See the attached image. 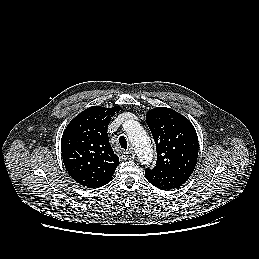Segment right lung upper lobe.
<instances>
[{
    "instance_id": "right-lung-upper-lobe-1",
    "label": "right lung upper lobe",
    "mask_w": 259,
    "mask_h": 259,
    "mask_svg": "<svg viewBox=\"0 0 259 259\" xmlns=\"http://www.w3.org/2000/svg\"><path fill=\"white\" fill-rule=\"evenodd\" d=\"M119 106H92L66 127L61 152L69 175L79 184L99 188L111 181L119 158L109 143L107 127Z\"/></svg>"
}]
</instances>
